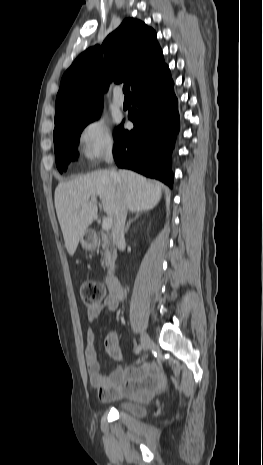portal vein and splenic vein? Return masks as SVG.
Segmentation results:
<instances>
[{"mask_svg": "<svg viewBox=\"0 0 263 465\" xmlns=\"http://www.w3.org/2000/svg\"><path fill=\"white\" fill-rule=\"evenodd\" d=\"M92 202H97V199L96 198H92L91 199ZM113 225V217L108 215L106 218L103 219V222H102V229L104 231H108L111 229Z\"/></svg>", "mask_w": 263, "mask_h": 465, "instance_id": "portal-vein-and-splenic-vein-1", "label": "portal vein and splenic vein"}]
</instances>
